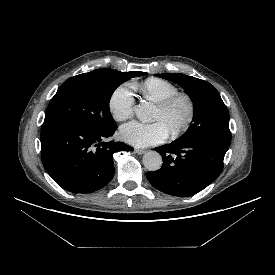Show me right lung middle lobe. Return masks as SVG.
I'll use <instances>...</instances> for the list:
<instances>
[{"label": "right lung middle lobe", "instance_id": "obj_1", "mask_svg": "<svg viewBox=\"0 0 275 275\" xmlns=\"http://www.w3.org/2000/svg\"><path fill=\"white\" fill-rule=\"evenodd\" d=\"M145 74L101 68L71 77L50 101L44 123L68 121L94 128H111L115 126L109 111L112 93L123 82Z\"/></svg>", "mask_w": 275, "mask_h": 275}]
</instances>
